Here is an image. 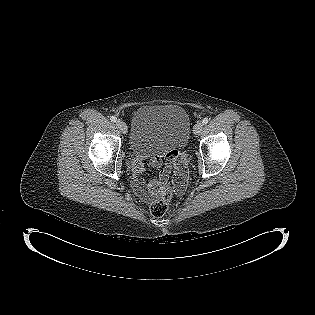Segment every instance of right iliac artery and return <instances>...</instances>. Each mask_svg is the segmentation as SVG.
<instances>
[{
    "instance_id": "right-iliac-artery-1",
    "label": "right iliac artery",
    "mask_w": 315,
    "mask_h": 315,
    "mask_svg": "<svg viewBox=\"0 0 315 315\" xmlns=\"http://www.w3.org/2000/svg\"><path fill=\"white\" fill-rule=\"evenodd\" d=\"M110 120H111L112 122H116V121H117V118H116L115 116H111Z\"/></svg>"
}]
</instances>
